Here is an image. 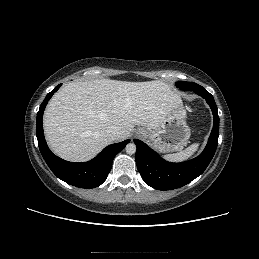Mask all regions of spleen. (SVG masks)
Masks as SVG:
<instances>
[{"instance_id": "spleen-1", "label": "spleen", "mask_w": 259, "mask_h": 259, "mask_svg": "<svg viewBox=\"0 0 259 259\" xmlns=\"http://www.w3.org/2000/svg\"><path fill=\"white\" fill-rule=\"evenodd\" d=\"M198 148H199V143H194L183 151H180L178 153L164 155V158L166 160L173 161V162L185 161V160L189 159L190 157H192L194 155V153L198 150Z\"/></svg>"}]
</instances>
